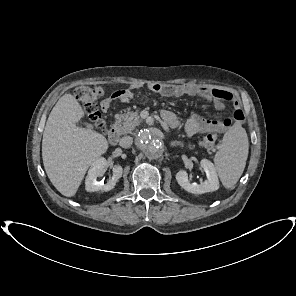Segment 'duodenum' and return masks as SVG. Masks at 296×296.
I'll return each instance as SVG.
<instances>
[{
    "mask_svg": "<svg viewBox=\"0 0 296 296\" xmlns=\"http://www.w3.org/2000/svg\"><path fill=\"white\" fill-rule=\"evenodd\" d=\"M108 139L111 144H117L120 139V131L117 125H111L108 131Z\"/></svg>",
    "mask_w": 296,
    "mask_h": 296,
    "instance_id": "1",
    "label": "duodenum"
}]
</instances>
